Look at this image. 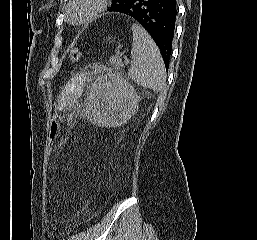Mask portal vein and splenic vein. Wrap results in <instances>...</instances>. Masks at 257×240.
I'll return each instance as SVG.
<instances>
[{
	"mask_svg": "<svg viewBox=\"0 0 257 240\" xmlns=\"http://www.w3.org/2000/svg\"><path fill=\"white\" fill-rule=\"evenodd\" d=\"M125 60L128 62V59H127V58H125Z\"/></svg>",
	"mask_w": 257,
	"mask_h": 240,
	"instance_id": "18ae733b",
	"label": "portal vein and splenic vein"
}]
</instances>
